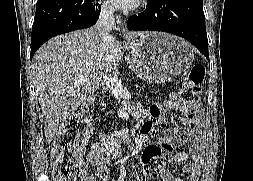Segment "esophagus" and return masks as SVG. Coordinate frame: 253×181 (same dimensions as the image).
Wrapping results in <instances>:
<instances>
[{
	"instance_id": "esophagus-1",
	"label": "esophagus",
	"mask_w": 253,
	"mask_h": 181,
	"mask_svg": "<svg viewBox=\"0 0 253 181\" xmlns=\"http://www.w3.org/2000/svg\"><path fill=\"white\" fill-rule=\"evenodd\" d=\"M119 23H120V34L123 36H126L127 33H126L125 22L121 18H119Z\"/></svg>"
}]
</instances>
